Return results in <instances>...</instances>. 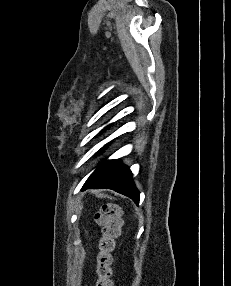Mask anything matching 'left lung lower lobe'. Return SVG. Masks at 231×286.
<instances>
[{"label":"left lung lower lobe","mask_w":231,"mask_h":286,"mask_svg":"<svg viewBox=\"0 0 231 286\" xmlns=\"http://www.w3.org/2000/svg\"><path fill=\"white\" fill-rule=\"evenodd\" d=\"M108 188L130 197L139 203V191L132 180V173L116 160L101 164L87 179L82 189Z\"/></svg>","instance_id":"1"}]
</instances>
